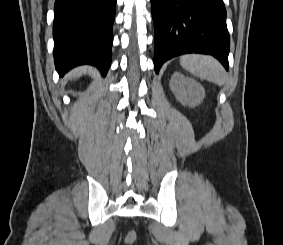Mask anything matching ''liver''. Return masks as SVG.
Instances as JSON below:
<instances>
[{
	"instance_id": "6515ba94",
	"label": "liver",
	"mask_w": 283,
	"mask_h": 245,
	"mask_svg": "<svg viewBox=\"0 0 283 245\" xmlns=\"http://www.w3.org/2000/svg\"><path fill=\"white\" fill-rule=\"evenodd\" d=\"M82 74V70L81 69H77L74 71L73 76H79Z\"/></svg>"
}]
</instances>
